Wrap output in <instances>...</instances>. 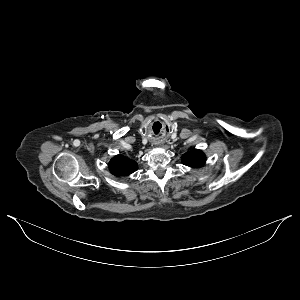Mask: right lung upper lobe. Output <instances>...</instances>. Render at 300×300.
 I'll use <instances>...</instances> for the list:
<instances>
[{
    "instance_id": "1",
    "label": "right lung upper lobe",
    "mask_w": 300,
    "mask_h": 300,
    "mask_svg": "<svg viewBox=\"0 0 300 300\" xmlns=\"http://www.w3.org/2000/svg\"><path fill=\"white\" fill-rule=\"evenodd\" d=\"M109 169L116 176L129 175L137 170L135 161L130 160L122 155H117L109 162Z\"/></svg>"
}]
</instances>
